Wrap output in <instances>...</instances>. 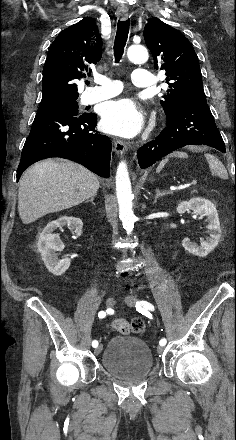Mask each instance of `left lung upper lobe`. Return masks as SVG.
<instances>
[{
    "label": "left lung upper lobe",
    "mask_w": 236,
    "mask_h": 440,
    "mask_svg": "<svg viewBox=\"0 0 236 440\" xmlns=\"http://www.w3.org/2000/svg\"><path fill=\"white\" fill-rule=\"evenodd\" d=\"M144 37L155 68L166 71L169 89L160 103L167 119L172 118L186 102L206 99L199 61L189 40L158 18H151L145 25Z\"/></svg>",
    "instance_id": "obj_1"
}]
</instances>
